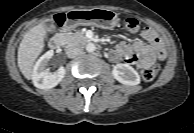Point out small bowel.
<instances>
[{
    "label": "small bowel",
    "mask_w": 194,
    "mask_h": 133,
    "mask_svg": "<svg viewBox=\"0 0 194 133\" xmlns=\"http://www.w3.org/2000/svg\"><path fill=\"white\" fill-rule=\"evenodd\" d=\"M142 40L133 43L121 42L109 54L114 62L135 64L139 69L151 68L156 60L165 57L164 46L155 30L146 27L142 30Z\"/></svg>",
    "instance_id": "obj_1"
}]
</instances>
